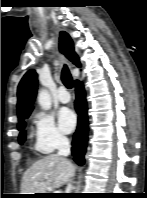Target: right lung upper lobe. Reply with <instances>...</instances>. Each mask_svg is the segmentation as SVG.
I'll return each mask as SVG.
<instances>
[{
  "instance_id": "1",
  "label": "right lung upper lobe",
  "mask_w": 147,
  "mask_h": 198,
  "mask_svg": "<svg viewBox=\"0 0 147 198\" xmlns=\"http://www.w3.org/2000/svg\"><path fill=\"white\" fill-rule=\"evenodd\" d=\"M59 49L70 61L80 67L78 56L74 51L73 42L70 36L64 32H60ZM37 93V74L35 70H29L22 78L17 91L18 103L17 113L18 121L27 118L32 109L33 102Z\"/></svg>"
}]
</instances>
